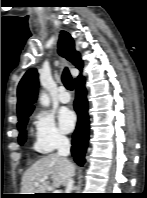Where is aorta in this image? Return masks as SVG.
Masks as SVG:
<instances>
[{
  "mask_svg": "<svg viewBox=\"0 0 147 198\" xmlns=\"http://www.w3.org/2000/svg\"><path fill=\"white\" fill-rule=\"evenodd\" d=\"M39 101L45 107L49 106V104H50L49 97L45 92H42L40 94Z\"/></svg>",
  "mask_w": 147,
  "mask_h": 198,
  "instance_id": "1",
  "label": "aorta"
}]
</instances>
